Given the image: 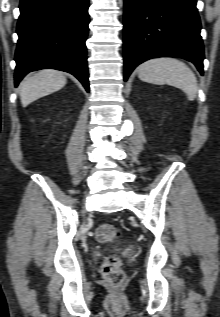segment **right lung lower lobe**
<instances>
[{"instance_id": "1", "label": "right lung lower lobe", "mask_w": 220, "mask_h": 317, "mask_svg": "<svg viewBox=\"0 0 220 317\" xmlns=\"http://www.w3.org/2000/svg\"><path fill=\"white\" fill-rule=\"evenodd\" d=\"M88 7V0H21L15 86L28 72L52 68L73 74L89 91Z\"/></svg>"}]
</instances>
